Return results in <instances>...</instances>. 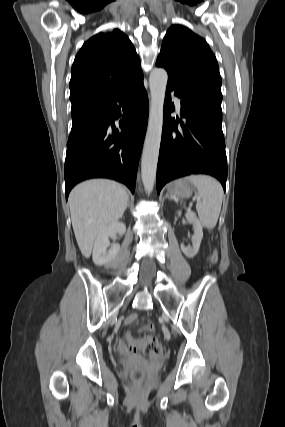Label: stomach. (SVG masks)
Masks as SVG:
<instances>
[{
	"label": "stomach",
	"instance_id": "0dacf381",
	"mask_svg": "<svg viewBox=\"0 0 285 427\" xmlns=\"http://www.w3.org/2000/svg\"><path fill=\"white\" fill-rule=\"evenodd\" d=\"M194 189L192 183L182 179L171 182L167 187L168 193L173 198H188L192 195Z\"/></svg>",
	"mask_w": 285,
	"mask_h": 427
}]
</instances>
